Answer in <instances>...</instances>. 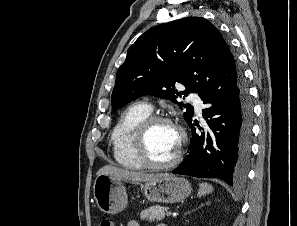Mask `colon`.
Listing matches in <instances>:
<instances>
[{
	"label": "colon",
	"mask_w": 297,
	"mask_h": 226,
	"mask_svg": "<svg viewBox=\"0 0 297 226\" xmlns=\"http://www.w3.org/2000/svg\"><path fill=\"white\" fill-rule=\"evenodd\" d=\"M100 226H113V223L109 219L102 220Z\"/></svg>",
	"instance_id": "obj_1"
}]
</instances>
